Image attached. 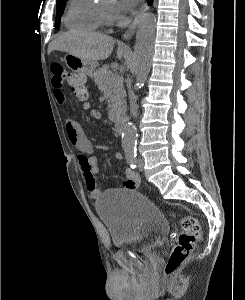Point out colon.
Segmentation results:
<instances>
[{"instance_id":"1","label":"colon","mask_w":245,"mask_h":300,"mask_svg":"<svg viewBox=\"0 0 245 300\" xmlns=\"http://www.w3.org/2000/svg\"><path fill=\"white\" fill-rule=\"evenodd\" d=\"M51 70L53 75L59 77L63 83L71 88L79 101L86 102L88 100L89 94L84 76L69 71L58 63H54ZM179 220L181 233L164 266L163 272L166 277L172 276L178 270L202 236L201 226L197 218L192 215H181Z\"/></svg>"}]
</instances>
